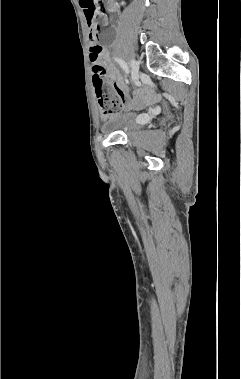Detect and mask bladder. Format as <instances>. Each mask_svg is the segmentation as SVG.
<instances>
[{
    "label": "bladder",
    "instance_id": "31cf9c89",
    "mask_svg": "<svg viewBox=\"0 0 241 379\" xmlns=\"http://www.w3.org/2000/svg\"><path fill=\"white\" fill-rule=\"evenodd\" d=\"M149 122H143L142 116L135 112H124L113 116L105 125L104 131L108 133L121 132L127 135L141 129Z\"/></svg>",
    "mask_w": 241,
    "mask_h": 379
}]
</instances>
